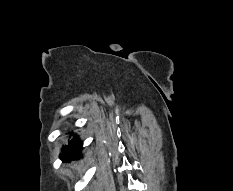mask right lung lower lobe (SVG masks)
I'll return each instance as SVG.
<instances>
[{"label": "right lung lower lobe", "instance_id": "1", "mask_svg": "<svg viewBox=\"0 0 233 191\" xmlns=\"http://www.w3.org/2000/svg\"><path fill=\"white\" fill-rule=\"evenodd\" d=\"M81 148V143L78 142V138L75 136V139L71 141V144L65 146V151L60 154V158L64 161L66 160H75L79 158L78 150Z\"/></svg>", "mask_w": 233, "mask_h": 191}]
</instances>
